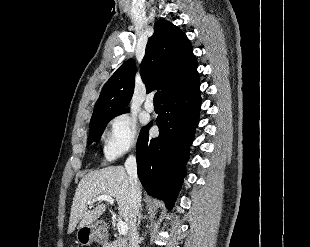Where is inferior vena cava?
Masks as SVG:
<instances>
[{"instance_id": "obj_1", "label": "inferior vena cava", "mask_w": 310, "mask_h": 247, "mask_svg": "<svg viewBox=\"0 0 310 247\" xmlns=\"http://www.w3.org/2000/svg\"><path fill=\"white\" fill-rule=\"evenodd\" d=\"M125 169L130 183V213H129V246L139 247V234L136 228V219L141 206V185L137 175L136 157L130 155L125 161Z\"/></svg>"}]
</instances>
